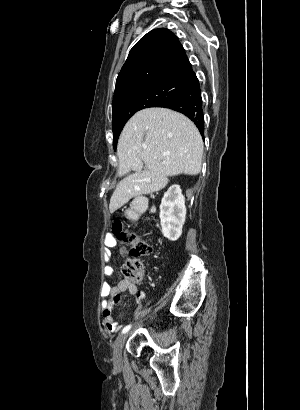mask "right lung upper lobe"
<instances>
[{
  "instance_id": "cb5924a9",
  "label": "right lung upper lobe",
  "mask_w": 300,
  "mask_h": 410,
  "mask_svg": "<svg viewBox=\"0 0 300 410\" xmlns=\"http://www.w3.org/2000/svg\"><path fill=\"white\" fill-rule=\"evenodd\" d=\"M194 75L178 38L168 29H154L131 49L117 77L114 99L131 87L161 82L188 83Z\"/></svg>"
}]
</instances>
